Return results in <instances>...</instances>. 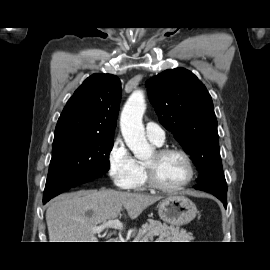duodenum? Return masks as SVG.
Returning a JSON list of instances; mask_svg holds the SVG:
<instances>
[{"label":"duodenum","mask_w":270,"mask_h":270,"mask_svg":"<svg viewBox=\"0 0 270 270\" xmlns=\"http://www.w3.org/2000/svg\"><path fill=\"white\" fill-rule=\"evenodd\" d=\"M111 242H115V239H110Z\"/></svg>","instance_id":"1"}]
</instances>
